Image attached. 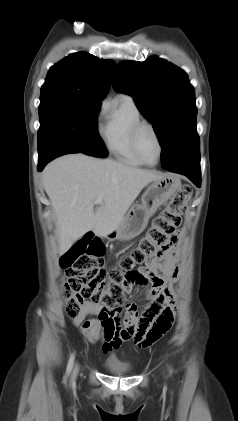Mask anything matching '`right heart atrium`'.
<instances>
[{"label":"right heart atrium","mask_w":238,"mask_h":421,"mask_svg":"<svg viewBox=\"0 0 238 421\" xmlns=\"http://www.w3.org/2000/svg\"><path fill=\"white\" fill-rule=\"evenodd\" d=\"M104 108V105L101 106V110Z\"/></svg>","instance_id":"1"}]
</instances>
